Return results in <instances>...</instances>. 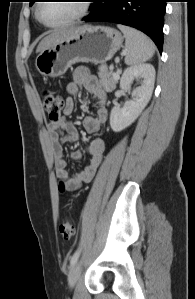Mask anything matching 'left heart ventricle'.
I'll use <instances>...</instances> for the list:
<instances>
[{
  "label": "left heart ventricle",
  "mask_w": 195,
  "mask_h": 299,
  "mask_svg": "<svg viewBox=\"0 0 195 299\" xmlns=\"http://www.w3.org/2000/svg\"><path fill=\"white\" fill-rule=\"evenodd\" d=\"M80 8L81 1H46L40 7V16L49 24H57L78 14Z\"/></svg>",
  "instance_id": "b2bd125f"
}]
</instances>
